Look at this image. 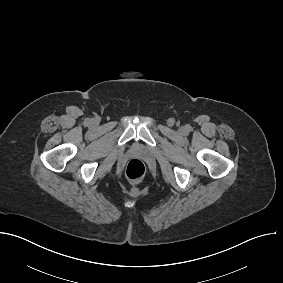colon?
Masks as SVG:
<instances>
[{"instance_id": "colon-1", "label": "colon", "mask_w": 283, "mask_h": 283, "mask_svg": "<svg viewBox=\"0 0 283 283\" xmlns=\"http://www.w3.org/2000/svg\"><path fill=\"white\" fill-rule=\"evenodd\" d=\"M125 175L130 181H139L145 175V166L139 159H132L128 162Z\"/></svg>"}]
</instances>
